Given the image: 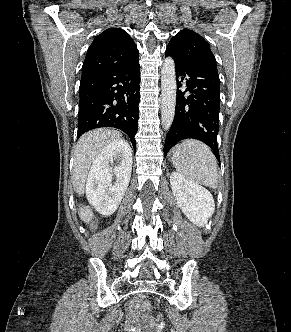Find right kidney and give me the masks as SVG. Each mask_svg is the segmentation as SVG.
<instances>
[{"label": "right kidney", "instance_id": "ca27d5eb", "mask_svg": "<svg viewBox=\"0 0 291 332\" xmlns=\"http://www.w3.org/2000/svg\"><path fill=\"white\" fill-rule=\"evenodd\" d=\"M131 170L132 153L125 141L113 142L98 154L88 174L86 195L100 214L110 216L116 211L128 188Z\"/></svg>", "mask_w": 291, "mask_h": 332}]
</instances>
